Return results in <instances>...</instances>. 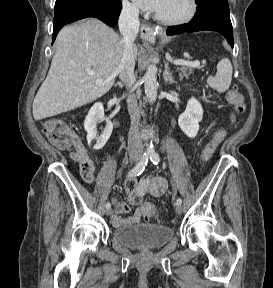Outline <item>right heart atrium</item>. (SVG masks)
<instances>
[{"instance_id":"right-heart-atrium-1","label":"right heart atrium","mask_w":273,"mask_h":288,"mask_svg":"<svg viewBox=\"0 0 273 288\" xmlns=\"http://www.w3.org/2000/svg\"><path fill=\"white\" fill-rule=\"evenodd\" d=\"M122 8L124 13L128 16L135 17L138 15L137 7L128 0H123Z\"/></svg>"}]
</instances>
